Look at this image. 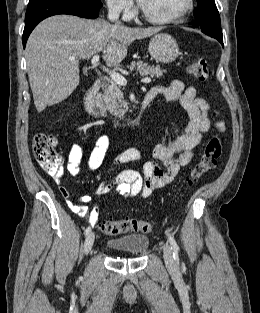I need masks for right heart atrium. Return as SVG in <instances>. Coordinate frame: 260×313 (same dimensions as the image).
Instances as JSON below:
<instances>
[{
	"label": "right heart atrium",
	"instance_id": "1",
	"mask_svg": "<svg viewBox=\"0 0 260 313\" xmlns=\"http://www.w3.org/2000/svg\"><path fill=\"white\" fill-rule=\"evenodd\" d=\"M108 11L123 18L132 14L133 4L131 0H105Z\"/></svg>",
	"mask_w": 260,
	"mask_h": 313
}]
</instances>
